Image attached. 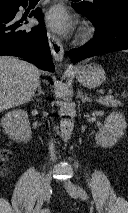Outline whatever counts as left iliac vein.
<instances>
[{"instance_id":"left-iliac-vein-1","label":"left iliac vein","mask_w":128,"mask_h":213,"mask_svg":"<svg viewBox=\"0 0 128 213\" xmlns=\"http://www.w3.org/2000/svg\"><path fill=\"white\" fill-rule=\"evenodd\" d=\"M64 186L72 198L76 199L79 197L77 186L74 183H72L70 180H66L64 182Z\"/></svg>"}]
</instances>
